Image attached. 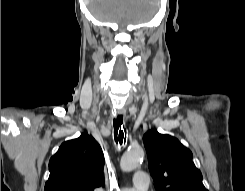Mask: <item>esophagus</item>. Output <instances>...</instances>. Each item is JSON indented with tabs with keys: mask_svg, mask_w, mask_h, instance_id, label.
Returning <instances> with one entry per match:
<instances>
[{
	"mask_svg": "<svg viewBox=\"0 0 245 191\" xmlns=\"http://www.w3.org/2000/svg\"><path fill=\"white\" fill-rule=\"evenodd\" d=\"M122 114H124L123 111H118V112H117V115H122Z\"/></svg>",
	"mask_w": 245,
	"mask_h": 191,
	"instance_id": "1",
	"label": "esophagus"
}]
</instances>
